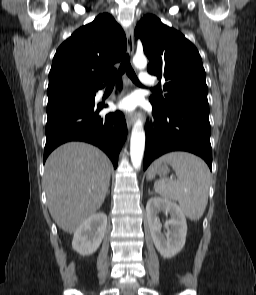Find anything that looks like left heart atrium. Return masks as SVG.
<instances>
[{
    "instance_id": "39dd6f15",
    "label": "left heart atrium",
    "mask_w": 256,
    "mask_h": 295,
    "mask_svg": "<svg viewBox=\"0 0 256 295\" xmlns=\"http://www.w3.org/2000/svg\"><path fill=\"white\" fill-rule=\"evenodd\" d=\"M137 100L134 96L130 95L123 98L119 103L118 107L124 111H131L136 107Z\"/></svg>"
}]
</instances>
